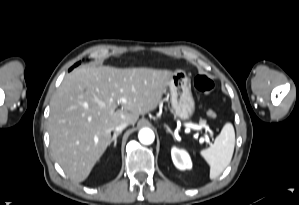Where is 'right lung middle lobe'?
<instances>
[{"instance_id": "right-lung-middle-lobe-1", "label": "right lung middle lobe", "mask_w": 299, "mask_h": 205, "mask_svg": "<svg viewBox=\"0 0 299 205\" xmlns=\"http://www.w3.org/2000/svg\"><path fill=\"white\" fill-rule=\"evenodd\" d=\"M79 64H80V62H79V63H76V64L74 65V67L77 66V65H79Z\"/></svg>"}]
</instances>
